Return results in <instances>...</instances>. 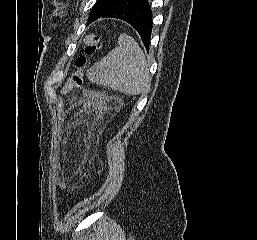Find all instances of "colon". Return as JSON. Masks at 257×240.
Segmentation results:
<instances>
[{
  "label": "colon",
  "mask_w": 257,
  "mask_h": 240,
  "mask_svg": "<svg viewBox=\"0 0 257 240\" xmlns=\"http://www.w3.org/2000/svg\"><path fill=\"white\" fill-rule=\"evenodd\" d=\"M85 50L84 54L76 60L77 70L72 74L66 83L63 93H67L75 88H81L83 85V77L85 70L91 65V58L101 50L102 41L94 35L89 34L84 39Z\"/></svg>",
  "instance_id": "colon-1"
}]
</instances>
